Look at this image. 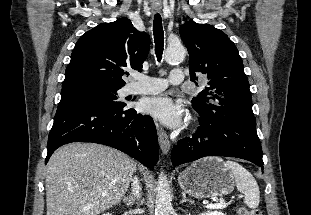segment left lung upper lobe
Returning a JSON list of instances; mask_svg holds the SVG:
<instances>
[{"instance_id":"5c2ea615","label":"left lung upper lobe","mask_w":311,"mask_h":215,"mask_svg":"<svg viewBox=\"0 0 311 215\" xmlns=\"http://www.w3.org/2000/svg\"><path fill=\"white\" fill-rule=\"evenodd\" d=\"M180 36L189 52L191 81L198 84L197 72L208 79L205 89L192 99L193 108L206 120L253 115L243 62L228 36L212 25L194 21L180 26Z\"/></svg>"}]
</instances>
